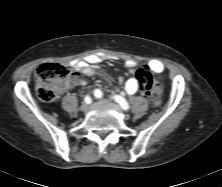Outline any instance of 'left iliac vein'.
I'll return each instance as SVG.
<instances>
[{
    "instance_id": "4c4485c4",
    "label": "left iliac vein",
    "mask_w": 222,
    "mask_h": 187,
    "mask_svg": "<svg viewBox=\"0 0 222 187\" xmlns=\"http://www.w3.org/2000/svg\"><path fill=\"white\" fill-rule=\"evenodd\" d=\"M100 100L105 103H112L111 100H109V99H100Z\"/></svg>"
}]
</instances>
